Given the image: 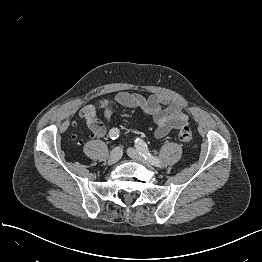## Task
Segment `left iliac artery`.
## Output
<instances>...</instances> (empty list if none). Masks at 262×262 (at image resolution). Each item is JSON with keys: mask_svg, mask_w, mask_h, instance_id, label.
Wrapping results in <instances>:
<instances>
[{"mask_svg": "<svg viewBox=\"0 0 262 262\" xmlns=\"http://www.w3.org/2000/svg\"><path fill=\"white\" fill-rule=\"evenodd\" d=\"M135 146H136V149L139 151V153L146 160H148L151 163V165H154V166H157V167H161L160 161L149 152L146 143L142 139L137 138L135 140Z\"/></svg>", "mask_w": 262, "mask_h": 262, "instance_id": "44dca946", "label": "left iliac artery"}]
</instances>
